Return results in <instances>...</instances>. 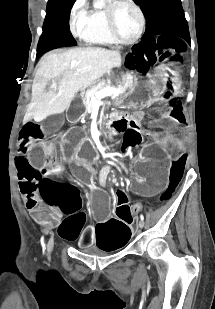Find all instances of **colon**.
Returning a JSON list of instances; mask_svg holds the SVG:
<instances>
[{
  "instance_id": "5ec220e1",
  "label": "colon",
  "mask_w": 215,
  "mask_h": 309,
  "mask_svg": "<svg viewBox=\"0 0 215 309\" xmlns=\"http://www.w3.org/2000/svg\"><path fill=\"white\" fill-rule=\"evenodd\" d=\"M51 159H52L51 157H47L48 162H50ZM79 220H80V218H79Z\"/></svg>"
}]
</instances>
